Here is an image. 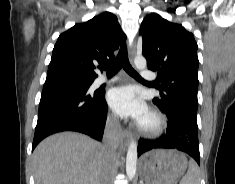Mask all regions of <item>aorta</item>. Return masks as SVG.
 I'll use <instances>...</instances> for the list:
<instances>
[{
	"instance_id": "1",
	"label": "aorta",
	"mask_w": 235,
	"mask_h": 184,
	"mask_svg": "<svg viewBox=\"0 0 235 184\" xmlns=\"http://www.w3.org/2000/svg\"><path fill=\"white\" fill-rule=\"evenodd\" d=\"M134 64L137 70H145L147 64L145 58L143 56H135ZM136 164H137V144L134 140H131L128 150H127V158H126V174L129 180H133L136 174Z\"/></svg>"
}]
</instances>
